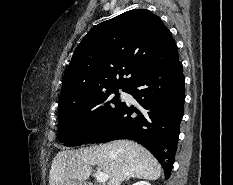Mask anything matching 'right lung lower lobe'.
Listing matches in <instances>:
<instances>
[{
	"mask_svg": "<svg viewBox=\"0 0 233 185\" xmlns=\"http://www.w3.org/2000/svg\"><path fill=\"white\" fill-rule=\"evenodd\" d=\"M184 85L183 66L179 58L145 73L126 91L139 106L123 103L86 142L101 143L126 138L135 140L157 158L168 179L183 117Z\"/></svg>",
	"mask_w": 233,
	"mask_h": 185,
	"instance_id": "98d812e1",
	"label": "right lung lower lobe"
}]
</instances>
